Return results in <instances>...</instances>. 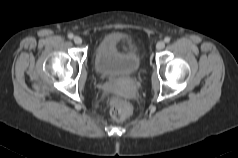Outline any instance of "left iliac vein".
Returning <instances> with one entry per match:
<instances>
[{
    "label": "left iliac vein",
    "instance_id": "obj_1",
    "mask_svg": "<svg viewBox=\"0 0 238 158\" xmlns=\"http://www.w3.org/2000/svg\"><path fill=\"white\" fill-rule=\"evenodd\" d=\"M165 47V42L164 41H159L157 44H156V49L157 50H162L164 49Z\"/></svg>",
    "mask_w": 238,
    "mask_h": 158
}]
</instances>
